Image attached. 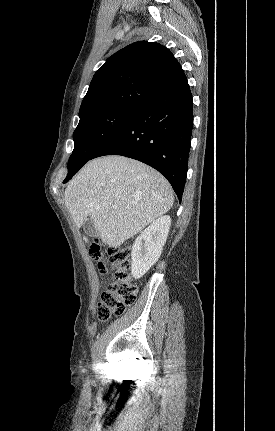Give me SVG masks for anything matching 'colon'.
I'll return each instance as SVG.
<instances>
[{"label":"colon","instance_id":"5ec220e1","mask_svg":"<svg viewBox=\"0 0 275 431\" xmlns=\"http://www.w3.org/2000/svg\"><path fill=\"white\" fill-rule=\"evenodd\" d=\"M89 251L102 274H107L109 267L113 271L114 279L101 294L97 306L98 320L107 321L113 315L123 314L137 299L138 288L130 275L131 251L119 247L106 252L99 240L93 242Z\"/></svg>","mask_w":275,"mask_h":431}]
</instances>
